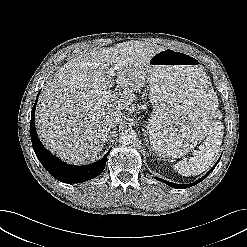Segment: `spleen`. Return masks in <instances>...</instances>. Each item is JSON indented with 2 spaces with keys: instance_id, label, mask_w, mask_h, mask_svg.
<instances>
[{
  "instance_id": "spleen-1",
  "label": "spleen",
  "mask_w": 247,
  "mask_h": 247,
  "mask_svg": "<svg viewBox=\"0 0 247 247\" xmlns=\"http://www.w3.org/2000/svg\"><path fill=\"white\" fill-rule=\"evenodd\" d=\"M216 117L221 118L219 111ZM223 124L220 121L212 122L209 125L208 136L199 150L191 157L189 161H179L174 165V169L182 176H196L203 173L214 163L222 143Z\"/></svg>"
}]
</instances>
